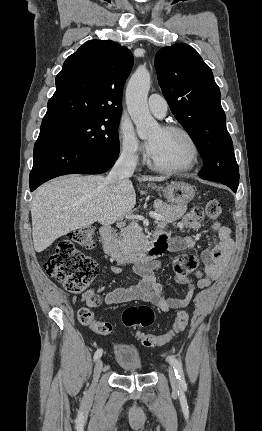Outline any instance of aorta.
Listing matches in <instances>:
<instances>
[{
    "mask_svg": "<svg viewBox=\"0 0 262 431\" xmlns=\"http://www.w3.org/2000/svg\"><path fill=\"white\" fill-rule=\"evenodd\" d=\"M150 83V73L140 67L130 78L126 89L127 109L141 138L147 137L158 128V123L151 116L147 103Z\"/></svg>",
    "mask_w": 262,
    "mask_h": 431,
    "instance_id": "762f6f07",
    "label": "aorta"
}]
</instances>
